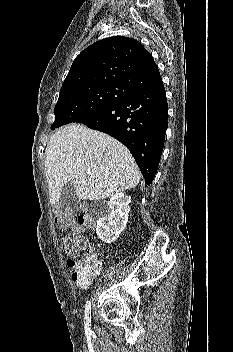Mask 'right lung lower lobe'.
Wrapping results in <instances>:
<instances>
[{
    "label": "right lung lower lobe",
    "mask_w": 233,
    "mask_h": 352,
    "mask_svg": "<svg viewBox=\"0 0 233 352\" xmlns=\"http://www.w3.org/2000/svg\"><path fill=\"white\" fill-rule=\"evenodd\" d=\"M167 119L168 104L160 79L79 123L123 143L140 168L145 186H148L158 169Z\"/></svg>",
    "instance_id": "obj_1"
}]
</instances>
